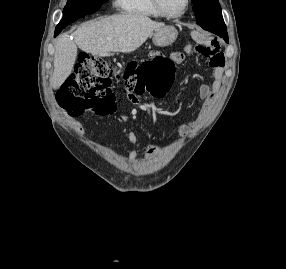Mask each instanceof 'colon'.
<instances>
[{
  "mask_svg": "<svg viewBox=\"0 0 286 269\" xmlns=\"http://www.w3.org/2000/svg\"><path fill=\"white\" fill-rule=\"evenodd\" d=\"M208 48V44H198L196 51ZM147 61L137 65L129 63L123 74L118 73L112 63L104 58L80 53L75 73L65 82L57 100L59 105L75 116L87 108L100 115H110L115 111L111 91L113 78H122L130 90L138 83L144 92L152 96L164 94L174 81V55H163V49H150Z\"/></svg>",
  "mask_w": 286,
  "mask_h": 269,
  "instance_id": "1",
  "label": "colon"
}]
</instances>
